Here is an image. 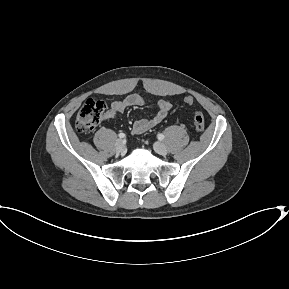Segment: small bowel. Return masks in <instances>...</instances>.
Wrapping results in <instances>:
<instances>
[{"mask_svg": "<svg viewBox=\"0 0 289 289\" xmlns=\"http://www.w3.org/2000/svg\"><path fill=\"white\" fill-rule=\"evenodd\" d=\"M146 104V100L139 94H131L124 100L114 101L110 104V108L105 113V119H114L119 113H122L126 108L131 106H143ZM171 109V104L167 100H159L157 102L156 113L145 119L137 120L132 125L133 134H142L149 129L160 124L163 119L167 116Z\"/></svg>", "mask_w": 289, "mask_h": 289, "instance_id": "small-bowel-1", "label": "small bowel"}]
</instances>
